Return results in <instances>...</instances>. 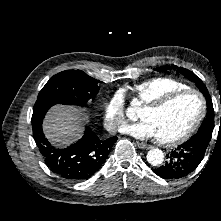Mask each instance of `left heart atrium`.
I'll return each mask as SVG.
<instances>
[{
  "label": "left heart atrium",
  "instance_id": "obj_1",
  "mask_svg": "<svg viewBox=\"0 0 221 221\" xmlns=\"http://www.w3.org/2000/svg\"><path fill=\"white\" fill-rule=\"evenodd\" d=\"M121 132L137 139H147L156 137V132L153 126L147 120H141L140 122L126 125L122 127Z\"/></svg>",
  "mask_w": 221,
  "mask_h": 221
}]
</instances>
